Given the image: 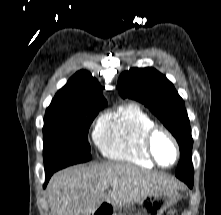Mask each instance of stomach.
I'll list each match as a JSON object with an SVG mask.
<instances>
[{
  "instance_id": "1",
  "label": "stomach",
  "mask_w": 221,
  "mask_h": 215,
  "mask_svg": "<svg viewBox=\"0 0 221 215\" xmlns=\"http://www.w3.org/2000/svg\"><path fill=\"white\" fill-rule=\"evenodd\" d=\"M180 197L178 189L154 191L136 203L117 208L114 215H163Z\"/></svg>"
}]
</instances>
